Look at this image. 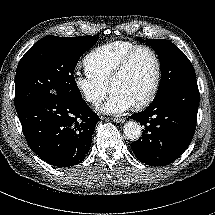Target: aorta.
<instances>
[{
  "mask_svg": "<svg viewBox=\"0 0 215 215\" xmlns=\"http://www.w3.org/2000/svg\"><path fill=\"white\" fill-rule=\"evenodd\" d=\"M124 133L128 140L137 141L141 137V127L136 122H128L124 127Z\"/></svg>",
  "mask_w": 215,
  "mask_h": 215,
  "instance_id": "aorta-1",
  "label": "aorta"
}]
</instances>
